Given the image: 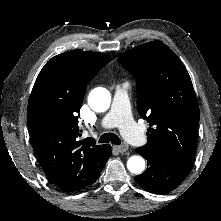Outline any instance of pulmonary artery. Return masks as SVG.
Masks as SVG:
<instances>
[{"instance_id":"pulmonary-artery-1","label":"pulmonary artery","mask_w":221,"mask_h":221,"mask_svg":"<svg viewBox=\"0 0 221 221\" xmlns=\"http://www.w3.org/2000/svg\"><path fill=\"white\" fill-rule=\"evenodd\" d=\"M129 84L117 85L110 110L103 116L101 126L103 128H120L124 137L135 146L146 143V137L142 129L133 121L128 97Z\"/></svg>"}]
</instances>
